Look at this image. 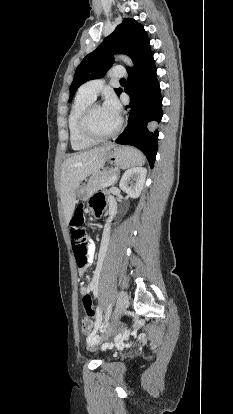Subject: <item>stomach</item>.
<instances>
[{
	"label": "stomach",
	"instance_id": "stomach-1",
	"mask_svg": "<svg viewBox=\"0 0 233 414\" xmlns=\"http://www.w3.org/2000/svg\"><path fill=\"white\" fill-rule=\"evenodd\" d=\"M138 158H140V154L137 153V150L130 147H113L107 152L105 157L111 165L118 168L131 167ZM77 195L80 199L86 200L90 195L88 187L85 184L79 186L77 188Z\"/></svg>",
	"mask_w": 233,
	"mask_h": 414
}]
</instances>
